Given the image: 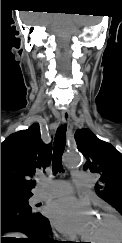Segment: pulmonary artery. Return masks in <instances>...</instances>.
Here are the masks:
<instances>
[{"mask_svg":"<svg viewBox=\"0 0 122 243\" xmlns=\"http://www.w3.org/2000/svg\"><path fill=\"white\" fill-rule=\"evenodd\" d=\"M73 175L75 182L80 187H84L89 181L88 174L83 171L75 170L73 171ZM70 190L71 186L68 181L52 180L37 192L35 199L41 201L49 197L67 194Z\"/></svg>","mask_w":122,"mask_h":243,"instance_id":"pulmonary-artery-1","label":"pulmonary artery"}]
</instances>
